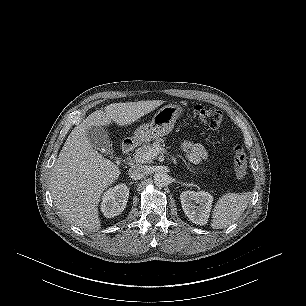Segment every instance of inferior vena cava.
<instances>
[{
	"label": "inferior vena cava",
	"mask_w": 306,
	"mask_h": 306,
	"mask_svg": "<svg viewBox=\"0 0 306 306\" xmlns=\"http://www.w3.org/2000/svg\"><path fill=\"white\" fill-rule=\"evenodd\" d=\"M128 174L130 178L140 180L149 174V168L144 165H134L129 169Z\"/></svg>",
	"instance_id": "1"
}]
</instances>
